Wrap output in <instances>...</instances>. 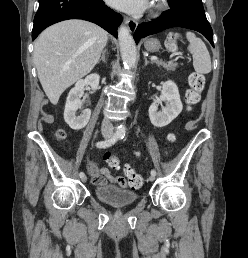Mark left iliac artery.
<instances>
[{"label":"left iliac artery","instance_id":"44dca946","mask_svg":"<svg viewBox=\"0 0 248 258\" xmlns=\"http://www.w3.org/2000/svg\"><path fill=\"white\" fill-rule=\"evenodd\" d=\"M124 136H125V134L121 135L120 138L123 139ZM151 175H154V176L156 175V170H155V169H152V170H151Z\"/></svg>","mask_w":248,"mask_h":258}]
</instances>
